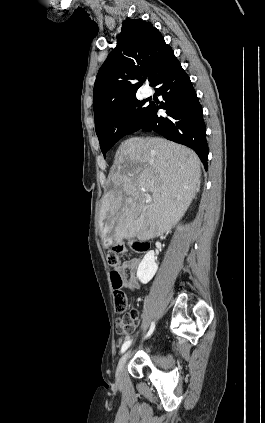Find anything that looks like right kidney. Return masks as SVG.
Returning <instances> with one entry per match:
<instances>
[{"label": "right kidney", "instance_id": "ca27d5eb", "mask_svg": "<svg viewBox=\"0 0 265 423\" xmlns=\"http://www.w3.org/2000/svg\"><path fill=\"white\" fill-rule=\"evenodd\" d=\"M157 270L158 265L155 263V253L150 250L138 266L137 277L142 284H147L154 277Z\"/></svg>", "mask_w": 265, "mask_h": 423}]
</instances>
